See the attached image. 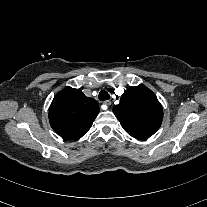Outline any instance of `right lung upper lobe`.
Segmentation results:
<instances>
[{"label": "right lung upper lobe", "instance_id": "cb5924a9", "mask_svg": "<svg viewBox=\"0 0 207 207\" xmlns=\"http://www.w3.org/2000/svg\"><path fill=\"white\" fill-rule=\"evenodd\" d=\"M99 113V105L80 89L64 88L54 97L50 110L51 127L66 139H79L91 127Z\"/></svg>", "mask_w": 207, "mask_h": 207}]
</instances>
